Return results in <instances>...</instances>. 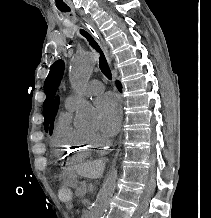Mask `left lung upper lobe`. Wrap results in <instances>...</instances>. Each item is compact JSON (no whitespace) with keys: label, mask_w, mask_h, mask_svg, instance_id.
Returning <instances> with one entry per match:
<instances>
[{"label":"left lung upper lobe","mask_w":211,"mask_h":218,"mask_svg":"<svg viewBox=\"0 0 211 218\" xmlns=\"http://www.w3.org/2000/svg\"><path fill=\"white\" fill-rule=\"evenodd\" d=\"M64 71V62L62 60L56 61L50 69V72L44 83V91L46 94V100L43 104L44 114V128L48 131V125L51 118L52 103L57 86L60 83Z\"/></svg>","instance_id":"1"}]
</instances>
